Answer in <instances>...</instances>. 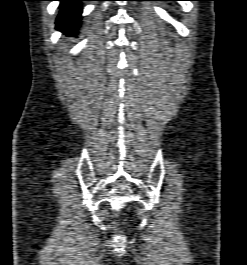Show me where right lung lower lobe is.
Listing matches in <instances>:
<instances>
[{"label":"right lung lower lobe","mask_w":247,"mask_h":265,"mask_svg":"<svg viewBox=\"0 0 247 265\" xmlns=\"http://www.w3.org/2000/svg\"><path fill=\"white\" fill-rule=\"evenodd\" d=\"M61 10L56 19V28L69 34H75L80 26L82 7L81 1L87 0H58Z\"/></svg>","instance_id":"obj_1"}]
</instances>
